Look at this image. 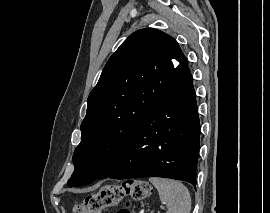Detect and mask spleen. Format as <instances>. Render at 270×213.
<instances>
[{"instance_id":"obj_1","label":"spleen","mask_w":270,"mask_h":213,"mask_svg":"<svg viewBox=\"0 0 270 213\" xmlns=\"http://www.w3.org/2000/svg\"><path fill=\"white\" fill-rule=\"evenodd\" d=\"M162 203L166 204V213H190L191 197L188 189L179 181L150 177Z\"/></svg>"}]
</instances>
